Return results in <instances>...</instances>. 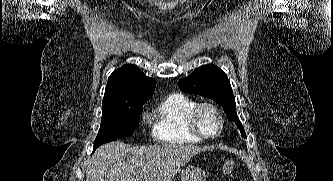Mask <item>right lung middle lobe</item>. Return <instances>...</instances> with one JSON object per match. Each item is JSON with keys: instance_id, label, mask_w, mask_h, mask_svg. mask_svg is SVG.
<instances>
[{"instance_id": "1", "label": "right lung middle lobe", "mask_w": 333, "mask_h": 181, "mask_svg": "<svg viewBox=\"0 0 333 181\" xmlns=\"http://www.w3.org/2000/svg\"><path fill=\"white\" fill-rule=\"evenodd\" d=\"M144 103L103 110L101 126L94 141V148L118 138L133 135L139 125Z\"/></svg>"}]
</instances>
